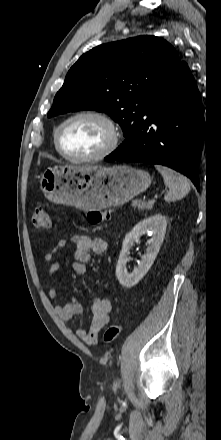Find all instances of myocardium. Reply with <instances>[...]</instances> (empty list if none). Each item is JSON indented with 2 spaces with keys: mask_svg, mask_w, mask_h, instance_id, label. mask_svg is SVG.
<instances>
[{
  "mask_svg": "<svg viewBox=\"0 0 221 440\" xmlns=\"http://www.w3.org/2000/svg\"><path fill=\"white\" fill-rule=\"evenodd\" d=\"M82 117H89V118H95L100 120L101 122H103L108 131H109V140L106 144V146L97 154L91 155V156H87V157H72L68 154H66L60 145V135L62 132V129L71 121L78 119V118H82ZM118 141H119V131L118 128L115 124V122L113 121V119L108 116L107 114H105L104 112L101 111H97V110H83V111H79L76 112L74 114H72L71 116H69L68 118H66L65 120H63L58 127L55 130L54 133V143H55V148L57 150V152L67 161L73 162V163H88V162H94V161H99L102 160L106 157H108L110 154H112L115 149L117 148L118 145Z\"/></svg>",
  "mask_w": 221,
  "mask_h": 440,
  "instance_id": "obj_1",
  "label": "myocardium"
}]
</instances>
